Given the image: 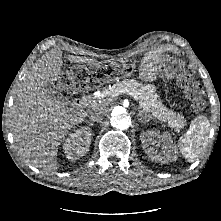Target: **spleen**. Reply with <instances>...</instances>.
I'll return each instance as SVG.
<instances>
[{
  "label": "spleen",
  "mask_w": 221,
  "mask_h": 221,
  "mask_svg": "<svg viewBox=\"0 0 221 221\" xmlns=\"http://www.w3.org/2000/svg\"><path fill=\"white\" fill-rule=\"evenodd\" d=\"M209 131V120L205 116H198L191 123L187 133L179 139L180 151L189 162H193L203 153Z\"/></svg>",
  "instance_id": "3e777b00"
}]
</instances>
